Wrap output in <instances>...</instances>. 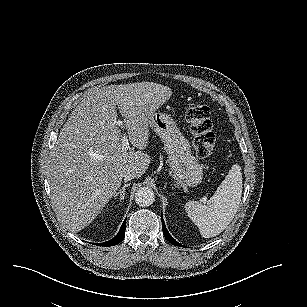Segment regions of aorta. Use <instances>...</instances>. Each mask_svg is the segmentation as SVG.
Returning <instances> with one entry per match:
<instances>
[{"label": "aorta", "instance_id": "1", "mask_svg": "<svg viewBox=\"0 0 307 307\" xmlns=\"http://www.w3.org/2000/svg\"><path fill=\"white\" fill-rule=\"evenodd\" d=\"M135 201L141 207H148L155 201V195L151 188L141 187L135 193Z\"/></svg>", "mask_w": 307, "mask_h": 307}]
</instances>
